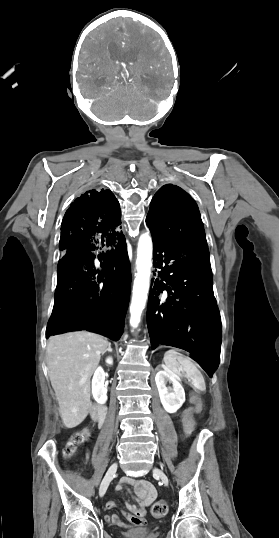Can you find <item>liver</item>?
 <instances>
[{"label":"liver","mask_w":279,"mask_h":538,"mask_svg":"<svg viewBox=\"0 0 279 538\" xmlns=\"http://www.w3.org/2000/svg\"><path fill=\"white\" fill-rule=\"evenodd\" d=\"M108 346L106 338L91 332L49 338L48 374L66 428H76L88 416L91 376Z\"/></svg>","instance_id":"obj_1"}]
</instances>
